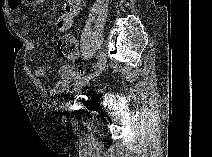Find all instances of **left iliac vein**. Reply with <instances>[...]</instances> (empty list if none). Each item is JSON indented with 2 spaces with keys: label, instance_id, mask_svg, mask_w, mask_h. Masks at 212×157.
Wrapping results in <instances>:
<instances>
[{
  "label": "left iliac vein",
  "instance_id": "obj_1",
  "mask_svg": "<svg viewBox=\"0 0 212 157\" xmlns=\"http://www.w3.org/2000/svg\"><path fill=\"white\" fill-rule=\"evenodd\" d=\"M104 68L101 69V70H99V71L97 70V71L93 72L94 75H92V77L90 79H87L85 81H82L81 83L75 84V86L73 88V92L74 93H77V92L81 91L93 79V77L96 75V72H97V75H99L100 73H102V71L104 70Z\"/></svg>",
  "mask_w": 212,
  "mask_h": 157
}]
</instances>
